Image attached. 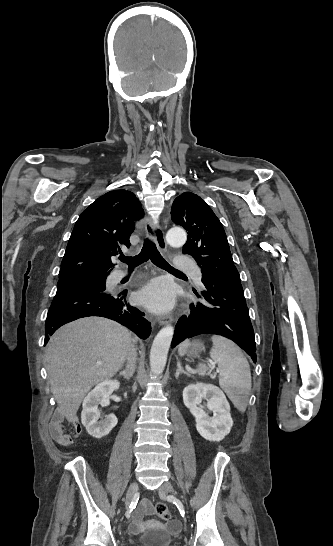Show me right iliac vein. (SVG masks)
<instances>
[{
    "mask_svg": "<svg viewBox=\"0 0 333 546\" xmlns=\"http://www.w3.org/2000/svg\"><path fill=\"white\" fill-rule=\"evenodd\" d=\"M138 491V484L137 483H132L127 491V495H126V508L128 509L131 501L133 500V497L135 496V494L137 493Z\"/></svg>",
    "mask_w": 333,
    "mask_h": 546,
    "instance_id": "right-iliac-vein-1",
    "label": "right iliac vein"
}]
</instances>
